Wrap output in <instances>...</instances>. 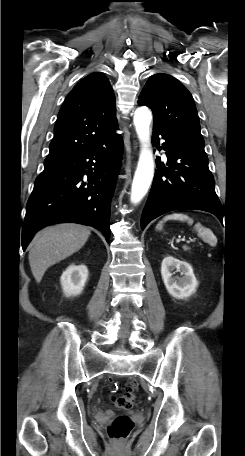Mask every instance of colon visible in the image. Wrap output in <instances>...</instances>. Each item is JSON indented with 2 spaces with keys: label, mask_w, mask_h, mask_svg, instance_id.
I'll use <instances>...</instances> for the list:
<instances>
[{
  "label": "colon",
  "mask_w": 245,
  "mask_h": 456,
  "mask_svg": "<svg viewBox=\"0 0 245 456\" xmlns=\"http://www.w3.org/2000/svg\"><path fill=\"white\" fill-rule=\"evenodd\" d=\"M110 388V399L118 408L126 410L135 405L136 384L134 382H130L121 393L118 392V385L116 382H111ZM132 427L133 422L129 417L118 416L109 424L108 434L114 440H124L130 433Z\"/></svg>",
  "instance_id": "1"
}]
</instances>
